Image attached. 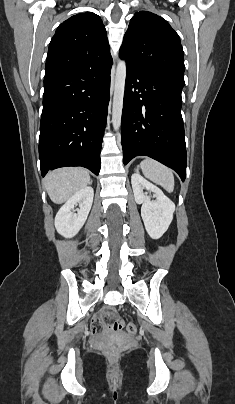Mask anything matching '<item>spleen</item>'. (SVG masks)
Listing matches in <instances>:
<instances>
[{"label":"spleen","instance_id":"3e777b00","mask_svg":"<svg viewBox=\"0 0 235 404\" xmlns=\"http://www.w3.org/2000/svg\"><path fill=\"white\" fill-rule=\"evenodd\" d=\"M140 168L145 177L162 186L167 192H173L174 175L168 167L156 160L146 158L140 163Z\"/></svg>","mask_w":235,"mask_h":404}]
</instances>
